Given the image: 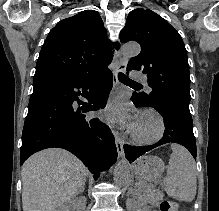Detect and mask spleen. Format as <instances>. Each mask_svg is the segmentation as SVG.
I'll return each mask as SVG.
<instances>
[{
    "label": "spleen",
    "instance_id": "obj_1",
    "mask_svg": "<svg viewBox=\"0 0 219 211\" xmlns=\"http://www.w3.org/2000/svg\"><path fill=\"white\" fill-rule=\"evenodd\" d=\"M172 153L164 177V189L179 201H192L196 195L197 179L195 161L188 149L172 143Z\"/></svg>",
    "mask_w": 219,
    "mask_h": 211
}]
</instances>
